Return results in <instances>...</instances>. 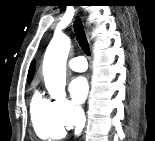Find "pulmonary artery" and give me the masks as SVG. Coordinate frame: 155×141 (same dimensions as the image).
Instances as JSON below:
<instances>
[{"instance_id":"1","label":"pulmonary artery","mask_w":155,"mask_h":141,"mask_svg":"<svg viewBox=\"0 0 155 141\" xmlns=\"http://www.w3.org/2000/svg\"><path fill=\"white\" fill-rule=\"evenodd\" d=\"M69 67L77 72H83L87 69V62L83 56L74 57L69 61Z\"/></svg>"}]
</instances>
